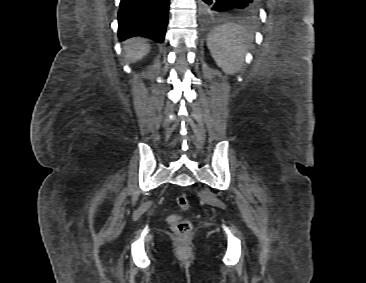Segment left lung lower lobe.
<instances>
[{"label": "left lung lower lobe", "mask_w": 366, "mask_h": 283, "mask_svg": "<svg viewBox=\"0 0 366 283\" xmlns=\"http://www.w3.org/2000/svg\"><path fill=\"white\" fill-rule=\"evenodd\" d=\"M259 0H200V9L206 16L233 14L239 10H253Z\"/></svg>", "instance_id": "0a47b994"}]
</instances>
